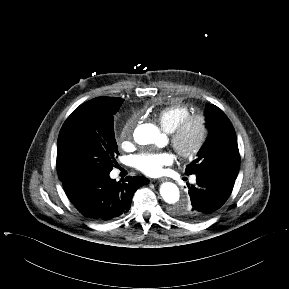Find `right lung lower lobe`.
<instances>
[{"mask_svg":"<svg viewBox=\"0 0 289 289\" xmlns=\"http://www.w3.org/2000/svg\"><path fill=\"white\" fill-rule=\"evenodd\" d=\"M126 183L116 182L109 175L90 177L65 184L71 203L86 218L107 221L127 213L134 192L148 184L142 176L127 177Z\"/></svg>","mask_w":289,"mask_h":289,"instance_id":"right-lung-lower-lobe-1","label":"right lung lower lobe"}]
</instances>
